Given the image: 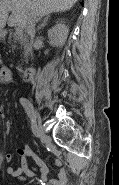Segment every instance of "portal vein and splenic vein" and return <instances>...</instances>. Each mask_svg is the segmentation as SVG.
Returning <instances> with one entry per match:
<instances>
[{
  "instance_id": "portal-vein-and-splenic-vein-1",
  "label": "portal vein and splenic vein",
  "mask_w": 119,
  "mask_h": 185,
  "mask_svg": "<svg viewBox=\"0 0 119 185\" xmlns=\"http://www.w3.org/2000/svg\"><path fill=\"white\" fill-rule=\"evenodd\" d=\"M22 31H23V30H22V27H19V26H18V27L16 28V34H21Z\"/></svg>"
}]
</instances>
